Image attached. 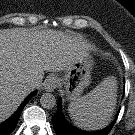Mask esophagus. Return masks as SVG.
Masks as SVG:
<instances>
[{
	"mask_svg": "<svg viewBox=\"0 0 135 135\" xmlns=\"http://www.w3.org/2000/svg\"><path fill=\"white\" fill-rule=\"evenodd\" d=\"M57 87V80L55 77H49L44 82V89L48 92H52Z\"/></svg>",
	"mask_w": 135,
	"mask_h": 135,
	"instance_id": "1",
	"label": "esophagus"
}]
</instances>
